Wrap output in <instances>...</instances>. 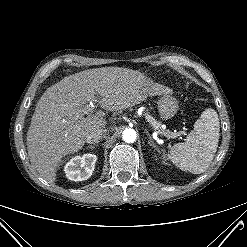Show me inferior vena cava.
I'll return each instance as SVG.
<instances>
[{"label":"inferior vena cava","mask_w":247,"mask_h":247,"mask_svg":"<svg viewBox=\"0 0 247 247\" xmlns=\"http://www.w3.org/2000/svg\"><path fill=\"white\" fill-rule=\"evenodd\" d=\"M106 136V130L105 129H98L93 132H91L86 137V142L90 144H97L101 142Z\"/></svg>","instance_id":"1"}]
</instances>
